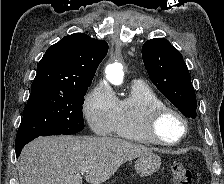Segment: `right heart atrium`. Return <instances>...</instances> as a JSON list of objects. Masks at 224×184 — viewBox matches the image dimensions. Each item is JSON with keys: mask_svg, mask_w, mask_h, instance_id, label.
Segmentation results:
<instances>
[{"mask_svg": "<svg viewBox=\"0 0 224 184\" xmlns=\"http://www.w3.org/2000/svg\"><path fill=\"white\" fill-rule=\"evenodd\" d=\"M116 104L117 97L105 82H99L87 94L83 103V113L94 133H111Z\"/></svg>", "mask_w": 224, "mask_h": 184, "instance_id": "1", "label": "right heart atrium"}]
</instances>
